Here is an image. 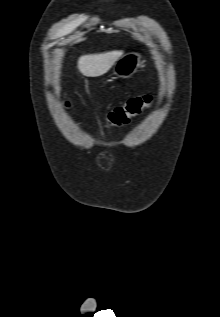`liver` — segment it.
<instances>
[{
  "mask_svg": "<svg viewBox=\"0 0 220 317\" xmlns=\"http://www.w3.org/2000/svg\"><path fill=\"white\" fill-rule=\"evenodd\" d=\"M123 55V51L83 55L78 59V69L86 77H99L107 73Z\"/></svg>",
  "mask_w": 220,
  "mask_h": 317,
  "instance_id": "liver-1",
  "label": "liver"
}]
</instances>
